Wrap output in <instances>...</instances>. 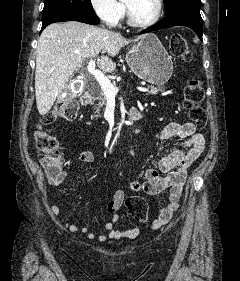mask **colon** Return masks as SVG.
Listing matches in <instances>:
<instances>
[{
    "label": "colon",
    "mask_w": 240,
    "mask_h": 281,
    "mask_svg": "<svg viewBox=\"0 0 240 281\" xmlns=\"http://www.w3.org/2000/svg\"><path fill=\"white\" fill-rule=\"evenodd\" d=\"M170 51L184 62L191 59L188 42L181 34L176 33L171 37ZM203 99L204 90L201 82L197 79L187 82L183 91V107L199 129H204L207 124V116L201 106ZM76 115L77 103L75 100L61 101L41 119L34 132L36 148L42 156V165L48 175L55 176L59 172L62 162L58 140L45 127L59 119L73 120ZM125 206L134 220L138 222L147 220L148 206L143 198L128 197L125 200Z\"/></svg>",
    "instance_id": "5ec220e1"
}]
</instances>
